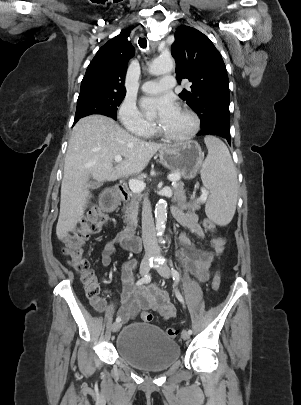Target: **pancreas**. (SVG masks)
I'll list each match as a JSON object with an SVG mask.
<instances>
[{
	"mask_svg": "<svg viewBox=\"0 0 301 405\" xmlns=\"http://www.w3.org/2000/svg\"><path fill=\"white\" fill-rule=\"evenodd\" d=\"M178 173L181 176L180 172H174V174ZM173 190V198L172 201L177 203L183 209H188L191 211H195L200 209L199 201H190L186 202V195L184 190V184L182 182L175 181V184L172 188ZM142 195L141 194H133L131 202L126 207V214L130 216L132 219L136 220L138 215V208L139 202L141 201Z\"/></svg>",
	"mask_w": 301,
	"mask_h": 405,
	"instance_id": "cf45deb5",
	"label": "pancreas"
}]
</instances>
